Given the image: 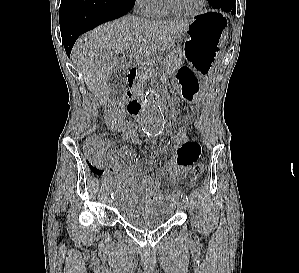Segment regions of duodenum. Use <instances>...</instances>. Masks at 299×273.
I'll return each mask as SVG.
<instances>
[{
  "mask_svg": "<svg viewBox=\"0 0 299 273\" xmlns=\"http://www.w3.org/2000/svg\"><path fill=\"white\" fill-rule=\"evenodd\" d=\"M137 77V68L130 69L127 75L128 90L125 95V104L127 112L132 116H138L142 109V102L135 93V80Z\"/></svg>",
  "mask_w": 299,
  "mask_h": 273,
  "instance_id": "duodenum-1",
  "label": "duodenum"
}]
</instances>
